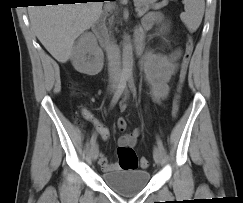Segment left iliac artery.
<instances>
[{"label": "left iliac artery", "mask_w": 243, "mask_h": 203, "mask_svg": "<svg viewBox=\"0 0 243 203\" xmlns=\"http://www.w3.org/2000/svg\"><path fill=\"white\" fill-rule=\"evenodd\" d=\"M128 80H129L130 88H131L133 94L135 95V94H136V90H135V87H134V84H133L132 76H129ZM157 145H158V147H159L162 151H164L163 143H162V141H161V139H160L159 137H157Z\"/></svg>", "instance_id": "obj_1"}]
</instances>
